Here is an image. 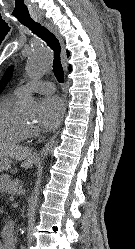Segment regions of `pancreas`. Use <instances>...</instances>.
Listing matches in <instances>:
<instances>
[{
  "instance_id": "1",
  "label": "pancreas",
  "mask_w": 135,
  "mask_h": 249,
  "mask_svg": "<svg viewBox=\"0 0 135 249\" xmlns=\"http://www.w3.org/2000/svg\"><path fill=\"white\" fill-rule=\"evenodd\" d=\"M19 180H13L9 183V185L7 186L6 190L8 192H10L11 194L17 189V187L19 186Z\"/></svg>"
}]
</instances>
